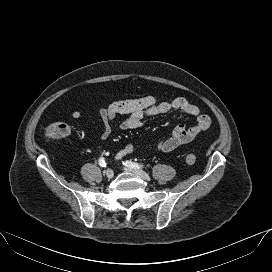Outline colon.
<instances>
[{
	"label": "colon",
	"instance_id": "colon-1",
	"mask_svg": "<svg viewBox=\"0 0 272 272\" xmlns=\"http://www.w3.org/2000/svg\"><path fill=\"white\" fill-rule=\"evenodd\" d=\"M71 126L62 121L51 122L44 128V136L50 140H59L68 137L71 134ZM197 160L195 154H187L185 161L187 164H194Z\"/></svg>",
	"mask_w": 272,
	"mask_h": 272
}]
</instances>
